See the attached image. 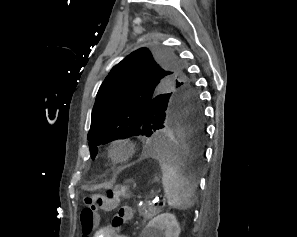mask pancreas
Segmentation results:
<instances>
[{
    "mask_svg": "<svg viewBox=\"0 0 297 237\" xmlns=\"http://www.w3.org/2000/svg\"><path fill=\"white\" fill-rule=\"evenodd\" d=\"M160 212L159 209L155 207H150L148 211H140V214L144 217L145 220L153 218L156 214Z\"/></svg>",
    "mask_w": 297,
    "mask_h": 237,
    "instance_id": "pancreas-1",
    "label": "pancreas"
}]
</instances>
